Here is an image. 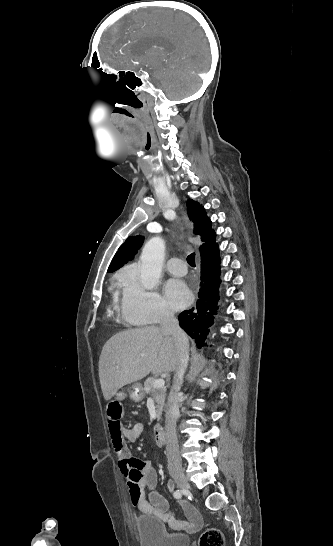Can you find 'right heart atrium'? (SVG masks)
Returning a JSON list of instances; mask_svg holds the SVG:
<instances>
[{"label": "right heart atrium", "mask_w": 333, "mask_h": 546, "mask_svg": "<svg viewBox=\"0 0 333 546\" xmlns=\"http://www.w3.org/2000/svg\"><path fill=\"white\" fill-rule=\"evenodd\" d=\"M121 282V316L125 322L132 325L155 324L173 317L160 293L146 289L136 273L126 272L122 275Z\"/></svg>", "instance_id": "obj_1"}]
</instances>
